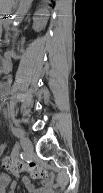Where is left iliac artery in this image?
Instances as JSON below:
<instances>
[{
	"mask_svg": "<svg viewBox=\"0 0 103 193\" xmlns=\"http://www.w3.org/2000/svg\"><path fill=\"white\" fill-rule=\"evenodd\" d=\"M12 132L17 137H22V135H23L22 131L18 128H15V127H12Z\"/></svg>",
	"mask_w": 103,
	"mask_h": 193,
	"instance_id": "1",
	"label": "left iliac artery"
}]
</instances>
